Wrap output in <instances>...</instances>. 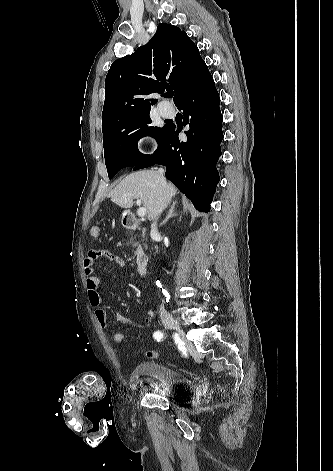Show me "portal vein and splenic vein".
Returning a JSON list of instances; mask_svg holds the SVG:
<instances>
[{
  "label": "portal vein and splenic vein",
  "mask_w": 333,
  "mask_h": 471,
  "mask_svg": "<svg viewBox=\"0 0 333 471\" xmlns=\"http://www.w3.org/2000/svg\"><path fill=\"white\" fill-rule=\"evenodd\" d=\"M137 205H139V208H138V210H137L138 216L144 217V216L146 215V213H147V210H146L145 207H141V206H140V205H141V199H137Z\"/></svg>",
  "instance_id": "18ae733b"
}]
</instances>
